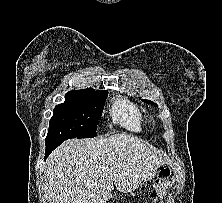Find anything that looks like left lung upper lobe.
<instances>
[{"mask_svg":"<svg viewBox=\"0 0 222 203\" xmlns=\"http://www.w3.org/2000/svg\"><path fill=\"white\" fill-rule=\"evenodd\" d=\"M144 102L149 103V104H154L155 106H158L156 103H153V102L150 101V100H144Z\"/></svg>","mask_w":222,"mask_h":203,"instance_id":"5c2ea615","label":"left lung upper lobe"}]
</instances>
